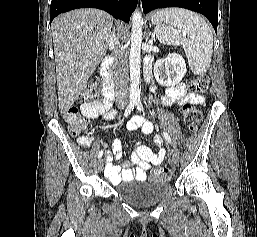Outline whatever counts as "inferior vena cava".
Wrapping results in <instances>:
<instances>
[{
	"instance_id": "1",
	"label": "inferior vena cava",
	"mask_w": 257,
	"mask_h": 237,
	"mask_svg": "<svg viewBox=\"0 0 257 237\" xmlns=\"http://www.w3.org/2000/svg\"><path fill=\"white\" fill-rule=\"evenodd\" d=\"M109 47L113 51L114 57V82H115V98L118 104H126L128 102V52L120 43L116 36L115 30L110 38Z\"/></svg>"
}]
</instances>
